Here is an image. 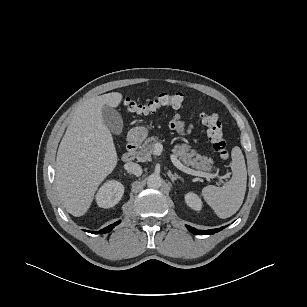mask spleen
<instances>
[{"label":"spleen","instance_id":"1","mask_svg":"<svg viewBox=\"0 0 307 307\" xmlns=\"http://www.w3.org/2000/svg\"><path fill=\"white\" fill-rule=\"evenodd\" d=\"M232 177L222 187L208 185L202 196L219 218L234 215L241 207L247 186V170L244 155L238 146L231 151Z\"/></svg>","mask_w":307,"mask_h":307}]
</instances>
